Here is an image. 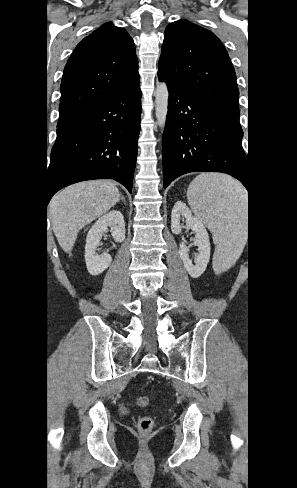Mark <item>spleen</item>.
I'll return each mask as SVG.
<instances>
[{"mask_svg":"<svg viewBox=\"0 0 297 488\" xmlns=\"http://www.w3.org/2000/svg\"><path fill=\"white\" fill-rule=\"evenodd\" d=\"M187 199L193 212L213 235L217 245L214 266H231L244 246L245 189L229 176L203 173L190 183Z\"/></svg>","mask_w":297,"mask_h":488,"instance_id":"3e777b00","label":"spleen"}]
</instances>
